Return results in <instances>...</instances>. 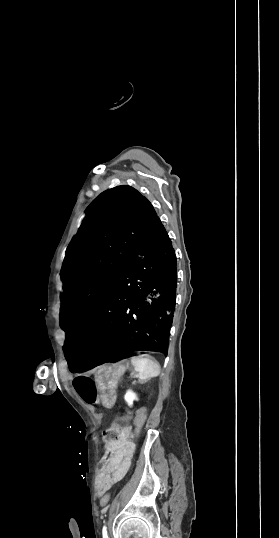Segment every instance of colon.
I'll list each match as a JSON object with an SVG mask.
<instances>
[{
  "instance_id": "5ec220e1",
  "label": "colon",
  "mask_w": 279,
  "mask_h": 538,
  "mask_svg": "<svg viewBox=\"0 0 279 538\" xmlns=\"http://www.w3.org/2000/svg\"><path fill=\"white\" fill-rule=\"evenodd\" d=\"M127 420L126 417L115 421L108 429L103 433V440L106 444L105 450L101 458L99 459L96 467V482L102 480L107 474V467L110 459V453L108 447L115 443L120 437V429L122 424ZM142 420L138 419L136 423V430L141 427ZM110 501L109 494H104L101 497L100 503L102 506H107Z\"/></svg>"
}]
</instances>
